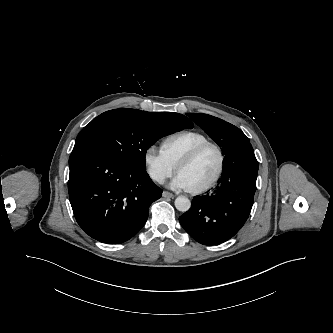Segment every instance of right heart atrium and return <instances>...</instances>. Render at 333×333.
Segmentation results:
<instances>
[{
    "mask_svg": "<svg viewBox=\"0 0 333 333\" xmlns=\"http://www.w3.org/2000/svg\"><path fill=\"white\" fill-rule=\"evenodd\" d=\"M144 164L150 178L159 184L164 183L176 170V166L163 151L154 145L149 146L145 150Z\"/></svg>",
    "mask_w": 333,
    "mask_h": 333,
    "instance_id": "1",
    "label": "right heart atrium"
}]
</instances>
